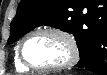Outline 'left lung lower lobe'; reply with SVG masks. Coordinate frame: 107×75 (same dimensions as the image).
Instances as JSON below:
<instances>
[{
  "label": "left lung lower lobe",
  "instance_id": "1",
  "mask_svg": "<svg viewBox=\"0 0 107 75\" xmlns=\"http://www.w3.org/2000/svg\"><path fill=\"white\" fill-rule=\"evenodd\" d=\"M85 6L97 16H107V0H86ZM83 37L84 51L75 67L86 68L98 75H107V40H99L89 33Z\"/></svg>",
  "mask_w": 107,
  "mask_h": 75
}]
</instances>
